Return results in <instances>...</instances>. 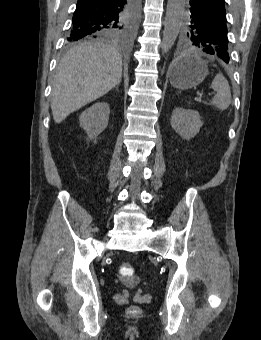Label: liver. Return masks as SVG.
<instances>
[{
	"label": "liver",
	"mask_w": 261,
	"mask_h": 340,
	"mask_svg": "<svg viewBox=\"0 0 261 340\" xmlns=\"http://www.w3.org/2000/svg\"><path fill=\"white\" fill-rule=\"evenodd\" d=\"M122 57L101 42H84L69 50L59 63L51 93L56 124L100 98L120 83Z\"/></svg>",
	"instance_id": "6515ba94"
}]
</instances>
